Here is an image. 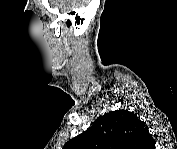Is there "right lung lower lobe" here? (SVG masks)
<instances>
[{
	"mask_svg": "<svg viewBox=\"0 0 177 149\" xmlns=\"http://www.w3.org/2000/svg\"><path fill=\"white\" fill-rule=\"evenodd\" d=\"M148 136H150V135H148ZM148 136H147V137H148ZM152 139H153L152 136L149 137V140H152ZM154 145H155V142L152 143L151 147L154 148Z\"/></svg>",
	"mask_w": 177,
	"mask_h": 149,
	"instance_id": "98d812e1",
	"label": "right lung lower lobe"
}]
</instances>
